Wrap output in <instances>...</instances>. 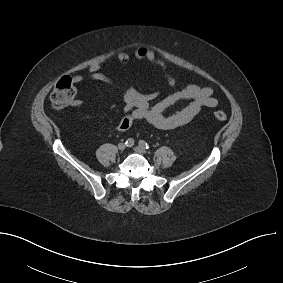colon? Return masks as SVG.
<instances>
[{"instance_id":"5ec220e1","label":"colon","mask_w":283,"mask_h":283,"mask_svg":"<svg viewBox=\"0 0 283 283\" xmlns=\"http://www.w3.org/2000/svg\"><path fill=\"white\" fill-rule=\"evenodd\" d=\"M75 94L76 89L72 79L70 77H63L54 86L50 100L55 109L61 110L72 102ZM214 116L219 121H225L227 119V114L222 110H216Z\"/></svg>"}]
</instances>
